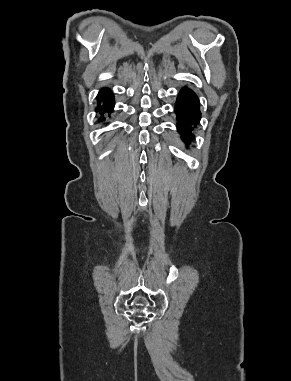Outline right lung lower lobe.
<instances>
[{
	"instance_id": "right-lung-lower-lobe-1",
	"label": "right lung lower lobe",
	"mask_w": 291,
	"mask_h": 381,
	"mask_svg": "<svg viewBox=\"0 0 291 381\" xmlns=\"http://www.w3.org/2000/svg\"><path fill=\"white\" fill-rule=\"evenodd\" d=\"M114 97L111 91L108 89H102L98 94V107L96 108V111H99L101 114L100 119H104L103 115L104 113H111L113 110L114 105ZM101 102L103 103L102 105Z\"/></svg>"
}]
</instances>
